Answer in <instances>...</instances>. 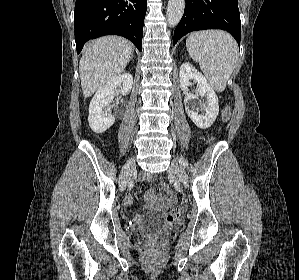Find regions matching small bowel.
Here are the masks:
<instances>
[{
    "label": "small bowel",
    "instance_id": "1",
    "mask_svg": "<svg viewBox=\"0 0 299 280\" xmlns=\"http://www.w3.org/2000/svg\"><path fill=\"white\" fill-rule=\"evenodd\" d=\"M175 200L176 198L174 196L168 198L161 197L157 195L153 189H149L145 193V205L148 209L152 210H163L174 203ZM131 203L132 199L130 197L126 198L125 205H130Z\"/></svg>",
    "mask_w": 299,
    "mask_h": 280
}]
</instances>
